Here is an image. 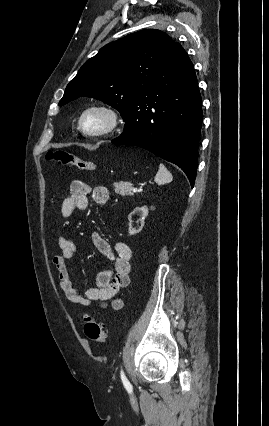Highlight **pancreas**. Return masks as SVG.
I'll return each instance as SVG.
<instances>
[{"label":"pancreas","instance_id":"1","mask_svg":"<svg viewBox=\"0 0 269 426\" xmlns=\"http://www.w3.org/2000/svg\"><path fill=\"white\" fill-rule=\"evenodd\" d=\"M133 185L130 182H118L114 183L115 193L120 194L122 196H132Z\"/></svg>","mask_w":269,"mask_h":426}]
</instances>
